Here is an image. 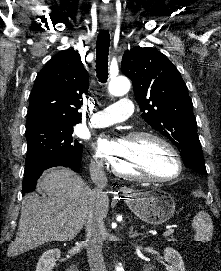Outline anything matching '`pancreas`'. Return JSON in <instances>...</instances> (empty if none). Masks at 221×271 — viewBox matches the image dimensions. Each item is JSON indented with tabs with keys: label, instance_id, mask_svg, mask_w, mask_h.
I'll use <instances>...</instances> for the list:
<instances>
[{
	"label": "pancreas",
	"instance_id": "pancreas-1",
	"mask_svg": "<svg viewBox=\"0 0 221 271\" xmlns=\"http://www.w3.org/2000/svg\"><path fill=\"white\" fill-rule=\"evenodd\" d=\"M169 243H172V240H169Z\"/></svg>",
	"mask_w": 221,
	"mask_h": 271
}]
</instances>
